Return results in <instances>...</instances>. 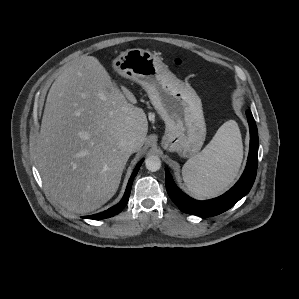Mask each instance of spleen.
Instances as JSON below:
<instances>
[{"instance_id":"1","label":"spleen","mask_w":299,"mask_h":299,"mask_svg":"<svg viewBox=\"0 0 299 299\" xmlns=\"http://www.w3.org/2000/svg\"><path fill=\"white\" fill-rule=\"evenodd\" d=\"M243 158L239 127L225 122L211 142L182 168L188 190L198 198L214 197L225 191L236 178Z\"/></svg>"}]
</instances>
